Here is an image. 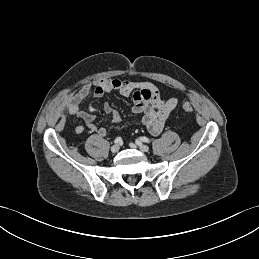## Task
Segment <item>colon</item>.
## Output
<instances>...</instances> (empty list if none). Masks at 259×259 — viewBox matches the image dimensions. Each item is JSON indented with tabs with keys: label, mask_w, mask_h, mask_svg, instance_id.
Masks as SVG:
<instances>
[{
	"label": "colon",
	"mask_w": 259,
	"mask_h": 259,
	"mask_svg": "<svg viewBox=\"0 0 259 259\" xmlns=\"http://www.w3.org/2000/svg\"><path fill=\"white\" fill-rule=\"evenodd\" d=\"M181 108H182V110L185 111V112H192V111H193V106H192V104L189 103V102H183V103L181 104Z\"/></svg>",
	"instance_id": "1"
}]
</instances>
